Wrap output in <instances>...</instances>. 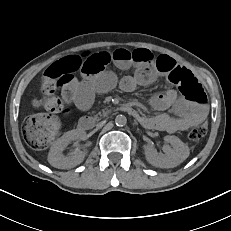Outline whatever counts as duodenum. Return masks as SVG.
<instances>
[{
  "label": "duodenum",
  "instance_id": "duodenum-1",
  "mask_svg": "<svg viewBox=\"0 0 231 231\" xmlns=\"http://www.w3.org/2000/svg\"><path fill=\"white\" fill-rule=\"evenodd\" d=\"M124 110L134 118H139L137 112L131 107H125ZM93 125V119L91 117H82L78 123V129L81 131L89 130Z\"/></svg>",
  "mask_w": 231,
  "mask_h": 231
}]
</instances>
